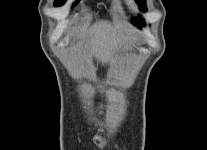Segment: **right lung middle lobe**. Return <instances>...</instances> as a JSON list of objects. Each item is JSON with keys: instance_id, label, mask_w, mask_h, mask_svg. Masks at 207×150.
<instances>
[{"instance_id": "1", "label": "right lung middle lobe", "mask_w": 207, "mask_h": 150, "mask_svg": "<svg viewBox=\"0 0 207 150\" xmlns=\"http://www.w3.org/2000/svg\"><path fill=\"white\" fill-rule=\"evenodd\" d=\"M64 2H65V0H55L54 5H55V6H60V5H63Z\"/></svg>"}]
</instances>
